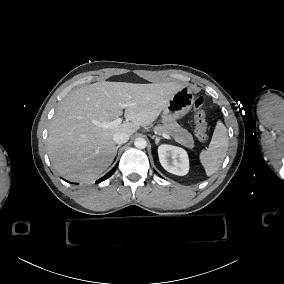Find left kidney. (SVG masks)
<instances>
[{
  "mask_svg": "<svg viewBox=\"0 0 284 284\" xmlns=\"http://www.w3.org/2000/svg\"><path fill=\"white\" fill-rule=\"evenodd\" d=\"M159 161L163 168L175 175H185L188 171L186 152L175 146L161 145L158 148Z\"/></svg>",
  "mask_w": 284,
  "mask_h": 284,
  "instance_id": "1",
  "label": "left kidney"
}]
</instances>
